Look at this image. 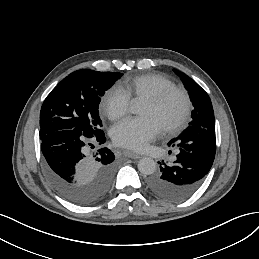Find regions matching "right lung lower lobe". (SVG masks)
Segmentation results:
<instances>
[{"instance_id": "obj_1", "label": "right lung lower lobe", "mask_w": 259, "mask_h": 259, "mask_svg": "<svg viewBox=\"0 0 259 259\" xmlns=\"http://www.w3.org/2000/svg\"><path fill=\"white\" fill-rule=\"evenodd\" d=\"M105 141L103 131L85 137L74 130L57 131L41 139L46 174L66 200L89 206L108 193L116 169L115 156L106 147L89 150V146H100Z\"/></svg>"}]
</instances>
